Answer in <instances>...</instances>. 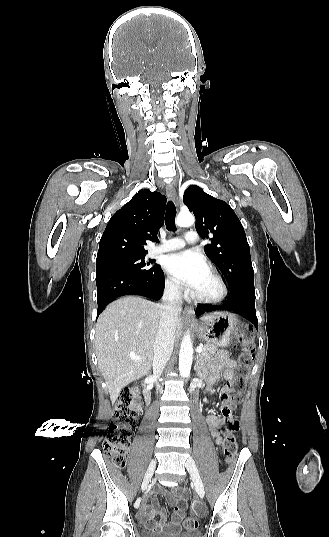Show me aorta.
Listing matches in <instances>:
<instances>
[{"label":"aorta","mask_w":329,"mask_h":537,"mask_svg":"<svg viewBox=\"0 0 329 537\" xmlns=\"http://www.w3.org/2000/svg\"><path fill=\"white\" fill-rule=\"evenodd\" d=\"M179 227H188L194 224L195 218L189 212H180L175 220ZM193 359V345L189 332H187L181 342L179 353V372L184 378L190 376Z\"/></svg>","instance_id":"obj_1"}]
</instances>
